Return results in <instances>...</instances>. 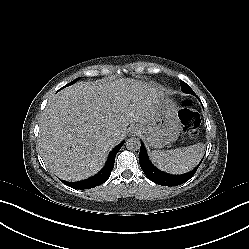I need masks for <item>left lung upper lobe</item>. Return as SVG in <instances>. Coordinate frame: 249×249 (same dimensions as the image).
<instances>
[{
    "label": "left lung upper lobe",
    "mask_w": 249,
    "mask_h": 249,
    "mask_svg": "<svg viewBox=\"0 0 249 249\" xmlns=\"http://www.w3.org/2000/svg\"><path fill=\"white\" fill-rule=\"evenodd\" d=\"M180 84H181V90H182L183 92L193 94V91H192V89L190 88V86H188L186 83H184V82H182V81H180ZM181 180H182V178L176 179L175 182L177 183V182H179V181H181ZM183 182H184V181H183Z\"/></svg>",
    "instance_id": "1"
}]
</instances>
